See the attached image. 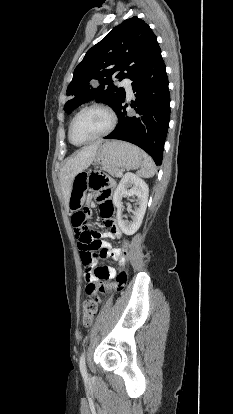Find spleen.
Instances as JSON below:
<instances>
[{
	"label": "spleen",
	"mask_w": 233,
	"mask_h": 414,
	"mask_svg": "<svg viewBox=\"0 0 233 414\" xmlns=\"http://www.w3.org/2000/svg\"><path fill=\"white\" fill-rule=\"evenodd\" d=\"M143 155V164L138 171V175L144 178H151L156 173V166L152 158L146 154L145 152H142Z\"/></svg>",
	"instance_id": "obj_1"
}]
</instances>
